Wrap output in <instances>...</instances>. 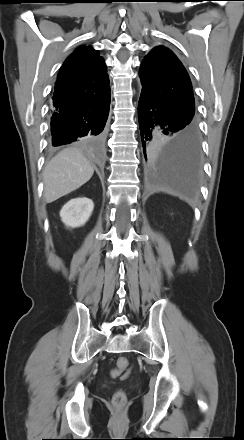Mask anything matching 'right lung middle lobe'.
Masks as SVG:
<instances>
[{
	"mask_svg": "<svg viewBox=\"0 0 244 440\" xmlns=\"http://www.w3.org/2000/svg\"><path fill=\"white\" fill-rule=\"evenodd\" d=\"M101 139L102 138L100 136H95V137H88V138H86L83 141H85V142H97V141H100Z\"/></svg>",
	"mask_w": 244,
	"mask_h": 440,
	"instance_id": "obj_1",
	"label": "right lung middle lobe"
}]
</instances>
